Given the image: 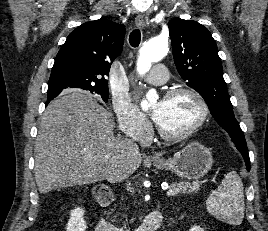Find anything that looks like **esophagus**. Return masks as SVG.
Masks as SVG:
<instances>
[{
	"label": "esophagus",
	"mask_w": 268,
	"mask_h": 231,
	"mask_svg": "<svg viewBox=\"0 0 268 231\" xmlns=\"http://www.w3.org/2000/svg\"><path fill=\"white\" fill-rule=\"evenodd\" d=\"M135 22H136L137 28H139V29L144 28L145 25H146L145 19H144V17L142 15H138L136 17V19H135ZM151 158L154 159V160L159 159V157L157 155H155V154H152Z\"/></svg>",
	"instance_id": "esophagus-1"
}]
</instances>
